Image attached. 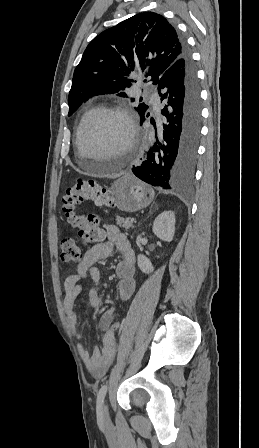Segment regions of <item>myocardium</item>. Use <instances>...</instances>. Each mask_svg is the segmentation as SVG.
Instances as JSON below:
<instances>
[{"mask_svg":"<svg viewBox=\"0 0 259 448\" xmlns=\"http://www.w3.org/2000/svg\"><path fill=\"white\" fill-rule=\"evenodd\" d=\"M116 113L123 117V119L126 121L128 130H129V137L127 141L117 148L118 155L126 154L130 152L137 139V125L136 121L130 111V109L120 103H115L111 105H106L98 108L91 116H89L83 123L79 135H78V151L76 153V163L82 162V151L87 149L86 147V135L89 130V128L102 116Z\"/></svg>","mask_w":259,"mask_h":448,"instance_id":"obj_1","label":"myocardium"}]
</instances>
